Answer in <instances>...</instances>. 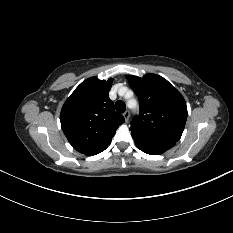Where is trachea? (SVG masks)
I'll return each instance as SVG.
<instances>
[{
  "label": "trachea",
  "mask_w": 233,
  "mask_h": 233,
  "mask_svg": "<svg viewBox=\"0 0 233 233\" xmlns=\"http://www.w3.org/2000/svg\"><path fill=\"white\" fill-rule=\"evenodd\" d=\"M115 109L117 112L119 113H124L125 110H126V105L125 103L122 101V100H118L116 103H115Z\"/></svg>",
  "instance_id": "1"
}]
</instances>
